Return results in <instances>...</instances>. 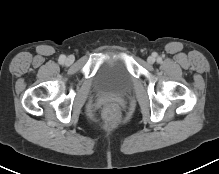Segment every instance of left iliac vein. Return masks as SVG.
I'll use <instances>...</instances> for the list:
<instances>
[{
    "label": "left iliac vein",
    "instance_id": "obj_1",
    "mask_svg": "<svg viewBox=\"0 0 219 174\" xmlns=\"http://www.w3.org/2000/svg\"><path fill=\"white\" fill-rule=\"evenodd\" d=\"M147 61L149 64H153L155 62V58L153 56H149Z\"/></svg>",
    "mask_w": 219,
    "mask_h": 174
}]
</instances>
